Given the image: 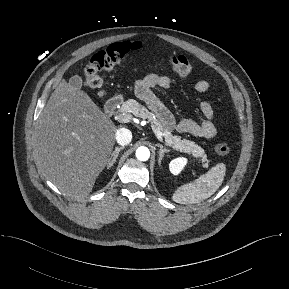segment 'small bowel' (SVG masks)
<instances>
[{"label": "small bowel", "instance_id": "small-bowel-1", "mask_svg": "<svg viewBox=\"0 0 289 289\" xmlns=\"http://www.w3.org/2000/svg\"><path fill=\"white\" fill-rule=\"evenodd\" d=\"M171 84L172 82L167 76L149 74L136 82L135 91L137 96L145 101L156 113L160 122L166 129H176L179 132L188 133L199 138H214L217 133L213 122L214 111L211 104L207 101H198V106L202 113L201 119L194 120L191 118H184L176 122L172 113L154 93V89H169ZM209 87L210 84L208 81L199 80L196 82L194 89L197 93H204Z\"/></svg>", "mask_w": 289, "mask_h": 289}]
</instances>
